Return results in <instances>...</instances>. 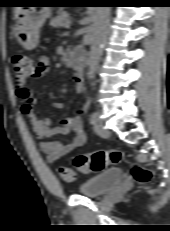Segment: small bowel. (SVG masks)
<instances>
[{
    "label": "small bowel",
    "instance_id": "obj_1",
    "mask_svg": "<svg viewBox=\"0 0 170 231\" xmlns=\"http://www.w3.org/2000/svg\"><path fill=\"white\" fill-rule=\"evenodd\" d=\"M35 77L43 76L49 67V58L40 57L36 62ZM83 77L76 75L75 91L78 94L83 92ZM16 94L23 101L22 113L30 121L36 137L40 143L41 151L46 155L49 162H55L60 157L83 146L86 142V134L82 126L81 112L71 118H64L58 126L52 127L50 118L37 114V99L26 84L16 86ZM50 106L55 109H62L60 102L48 100ZM73 133L72 138L67 143L58 140H49L57 134Z\"/></svg>",
    "mask_w": 170,
    "mask_h": 231
}]
</instances>
